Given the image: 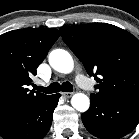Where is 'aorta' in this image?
<instances>
[{
	"mask_svg": "<svg viewBox=\"0 0 139 139\" xmlns=\"http://www.w3.org/2000/svg\"><path fill=\"white\" fill-rule=\"evenodd\" d=\"M50 66L64 74H68L73 70L74 62L72 56L63 49L53 50L49 54ZM71 105L79 112H86L90 106V100L87 95L83 93H76L71 98Z\"/></svg>",
	"mask_w": 139,
	"mask_h": 139,
	"instance_id": "1",
	"label": "aorta"
}]
</instances>
